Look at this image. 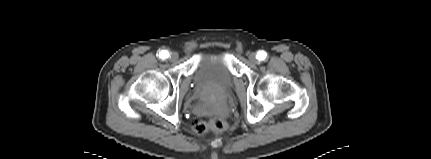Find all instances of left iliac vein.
I'll use <instances>...</instances> for the list:
<instances>
[{
    "label": "left iliac vein",
    "instance_id": "4c4485c4",
    "mask_svg": "<svg viewBox=\"0 0 431 159\" xmlns=\"http://www.w3.org/2000/svg\"><path fill=\"white\" fill-rule=\"evenodd\" d=\"M248 58H249V61L253 64H256L258 61L257 55L255 53H251Z\"/></svg>",
    "mask_w": 431,
    "mask_h": 159
}]
</instances>
